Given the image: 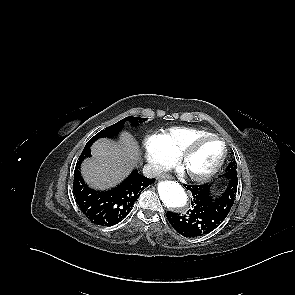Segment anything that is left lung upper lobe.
Returning <instances> with one entry per match:
<instances>
[{
	"instance_id": "1",
	"label": "left lung upper lobe",
	"mask_w": 295,
	"mask_h": 295,
	"mask_svg": "<svg viewBox=\"0 0 295 295\" xmlns=\"http://www.w3.org/2000/svg\"><path fill=\"white\" fill-rule=\"evenodd\" d=\"M237 166H236V161L235 160H232L228 167L226 168V173H236L237 174Z\"/></svg>"
}]
</instances>
